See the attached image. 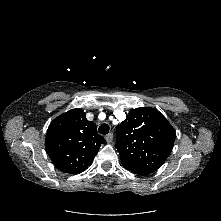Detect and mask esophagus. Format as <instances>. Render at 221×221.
I'll return each instance as SVG.
<instances>
[{
	"instance_id": "obj_1",
	"label": "esophagus",
	"mask_w": 221,
	"mask_h": 221,
	"mask_svg": "<svg viewBox=\"0 0 221 221\" xmlns=\"http://www.w3.org/2000/svg\"><path fill=\"white\" fill-rule=\"evenodd\" d=\"M105 140L107 141V143H111L113 140V134L109 133V134L105 135Z\"/></svg>"
}]
</instances>
